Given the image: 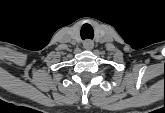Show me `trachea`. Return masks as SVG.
Segmentation results:
<instances>
[{
    "instance_id": "3493384b",
    "label": "trachea",
    "mask_w": 165,
    "mask_h": 113,
    "mask_svg": "<svg viewBox=\"0 0 165 113\" xmlns=\"http://www.w3.org/2000/svg\"><path fill=\"white\" fill-rule=\"evenodd\" d=\"M81 38L84 39H93L94 31L89 24H84L80 31Z\"/></svg>"
}]
</instances>
